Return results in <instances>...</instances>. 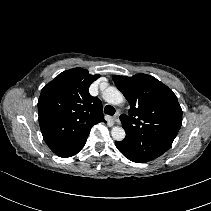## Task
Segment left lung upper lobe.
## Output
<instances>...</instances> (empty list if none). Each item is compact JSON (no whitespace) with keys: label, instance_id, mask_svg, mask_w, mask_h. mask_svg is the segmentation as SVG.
<instances>
[{"label":"left lung upper lobe","instance_id":"1","mask_svg":"<svg viewBox=\"0 0 211 211\" xmlns=\"http://www.w3.org/2000/svg\"><path fill=\"white\" fill-rule=\"evenodd\" d=\"M112 79L130 104L129 116L120 117L126 131L120 143L140 160L156 159L171 147L181 127L182 109L176 95L147 74Z\"/></svg>","mask_w":211,"mask_h":211}]
</instances>
